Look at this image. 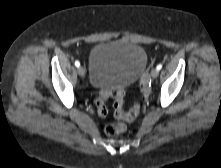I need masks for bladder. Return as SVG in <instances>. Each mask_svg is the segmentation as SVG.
I'll return each instance as SVG.
<instances>
[{
	"mask_svg": "<svg viewBox=\"0 0 221 168\" xmlns=\"http://www.w3.org/2000/svg\"><path fill=\"white\" fill-rule=\"evenodd\" d=\"M146 65L147 54L140 45L124 40L101 42L90 51V83L100 89L129 86Z\"/></svg>",
	"mask_w": 221,
	"mask_h": 168,
	"instance_id": "obj_1",
	"label": "bladder"
}]
</instances>
